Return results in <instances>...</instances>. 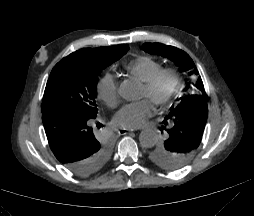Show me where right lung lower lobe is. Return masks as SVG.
Segmentation results:
<instances>
[{
  "mask_svg": "<svg viewBox=\"0 0 254 216\" xmlns=\"http://www.w3.org/2000/svg\"><path fill=\"white\" fill-rule=\"evenodd\" d=\"M42 121L55 157L74 174L85 176L102 151L94 136L93 119L69 110L52 109L42 113Z\"/></svg>",
  "mask_w": 254,
  "mask_h": 216,
  "instance_id": "obj_1",
  "label": "right lung lower lobe"
}]
</instances>
